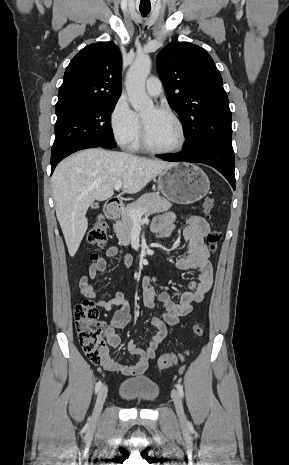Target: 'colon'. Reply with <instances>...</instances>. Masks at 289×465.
<instances>
[{
    "mask_svg": "<svg viewBox=\"0 0 289 465\" xmlns=\"http://www.w3.org/2000/svg\"><path fill=\"white\" fill-rule=\"evenodd\" d=\"M214 200L206 197L203 201V210L210 217ZM87 240L91 245L103 247L107 241V227L103 218L98 217L88 231ZM221 240V233L212 230L207 234V241L211 251H216ZM74 314L76 320V330L80 345L93 363H99L106 349L104 342V327L99 322V312L91 299L85 298L75 303ZM193 333L202 336L203 328L200 325L193 326ZM183 359L182 355L165 354L159 359V367L168 369Z\"/></svg>",
    "mask_w": 289,
    "mask_h": 465,
    "instance_id": "obj_1",
    "label": "colon"
}]
</instances>
